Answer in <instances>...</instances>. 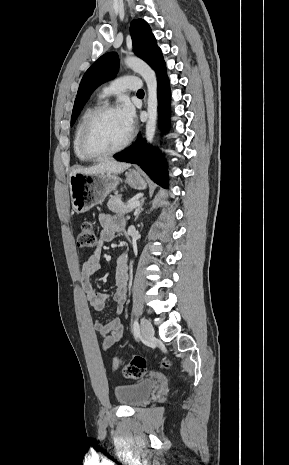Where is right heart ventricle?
Listing matches in <instances>:
<instances>
[{
	"label": "right heart ventricle",
	"mask_w": 289,
	"mask_h": 465,
	"mask_svg": "<svg viewBox=\"0 0 289 465\" xmlns=\"http://www.w3.org/2000/svg\"><path fill=\"white\" fill-rule=\"evenodd\" d=\"M96 108V104H92L90 106H88L83 112L82 114L80 115L79 119H78V122H77V125H76V128H75V131H74V135H73V149H74V153L77 157V159L80 161V162H88L90 161V159H88L87 157L84 156V154L82 153L81 151V146H80V140H81V133H82V129H83V125L86 121V119L88 118V116L91 114V112Z\"/></svg>",
	"instance_id": "1"
}]
</instances>
